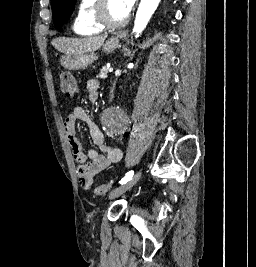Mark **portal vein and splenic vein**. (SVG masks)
<instances>
[{"label":"portal vein and splenic vein","instance_id":"obj_1","mask_svg":"<svg viewBox=\"0 0 256 267\" xmlns=\"http://www.w3.org/2000/svg\"><path fill=\"white\" fill-rule=\"evenodd\" d=\"M107 71H113V68H107Z\"/></svg>","mask_w":256,"mask_h":267}]
</instances>
